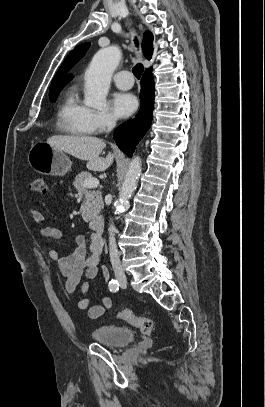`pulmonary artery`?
I'll use <instances>...</instances> for the list:
<instances>
[{
  "instance_id": "1",
  "label": "pulmonary artery",
  "mask_w": 265,
  "mask_h": 407,
  "mask_svg": "<svg viewBox=\"0 0 265 407\" xmlns=\"http://www.w3.org/2000/svg\"><path fill=\"white\" fill-rule=\"evenodd\" d=\"M113 82L119 89L128 90L134 84L132 73L128 70H121L113 76Z\"/></svg>"
}]
</instances>
